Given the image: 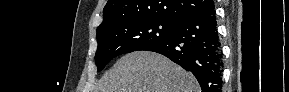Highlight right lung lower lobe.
I'll use <instances>...</instances> for the list:
<instances>
[{
    "label": "right lung lower lobe",
    "instance_id": "1",
    "mask_svg": "<svg viewBox=\"0 0 289 92\" xmlns=\"http://www.w3.org/2000/svg\"><path fill=\"white\" fill-rule=\"evenodd\" d=\"M141 50L160 53L197 78L202 92H220L222 52L214 7L184 17L173 35Z\"/></svg>",
    "mask_w": 289,
    "mask_h": 92
}]
</instances>
